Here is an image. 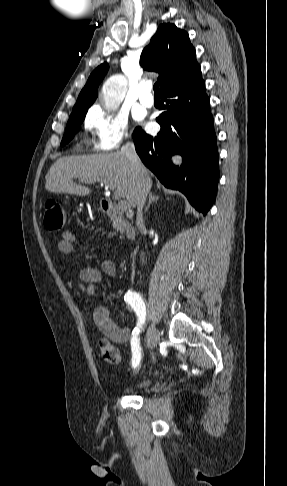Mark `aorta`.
Wrapping results in <instances>:
<instances>
[{"instance_id":"aorta-1","label":"aorta","mask_w":287,"mask_h":486,"mask_svg":"<svg viewBox=\"0 0 287 486\" xmlns=\"http://www.w3.org/2000/svg\"><path fill=\"white\" fill-rule=\"evenodd\" d=\"M127 91V82L122 76L110 78L104 85L103 104L108 110L116 109L123 101Z\"/></svg>"}]
</instances>
